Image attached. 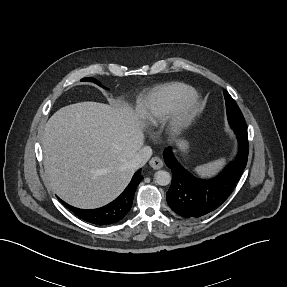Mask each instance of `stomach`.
<instances>
[{
  "label": "stomach",
  "mask_w": 287,
  "mask_h": 287,
  "mask_svg": "<svg viewBox=\"0 0 287 287\" xmlns=\"http://www.w3.org/2000/svg\"><path fill=\"white\" fill-rule=\"evenodd\" d=\"M177 144L179 149L183 152H185L188 148V143L185 140H179Z\"/></svg>",
  "instance_id": "obj_1"
}]
</instances>
